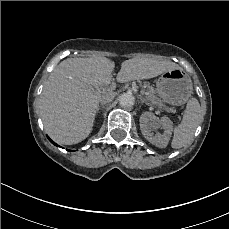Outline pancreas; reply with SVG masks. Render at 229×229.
I'll list each match as a JSON object with an SVG mask.
<instances>
[{
    "label": "pancreas",
    "instance_id": "pancreas-1",
    "mask_svg": "<svg viewBox=\"0 0 229 229\" xmlns=\"http://www.w3.org/2000/svg\"><path fill=\"white\" fill-rule=\"evenodd\" d=\"M144 88L147 90H142L141 94L146 95V103L148 105H155L158 106L159 108H166V104L161 101V99L158 97L156 94L154 88L152 86H149L147 84L144 85ZM169 112H175L173 108H166Z\"/></svg>",
    "mask_w": 229,
    "mask_h": 229
}]
</instances>
